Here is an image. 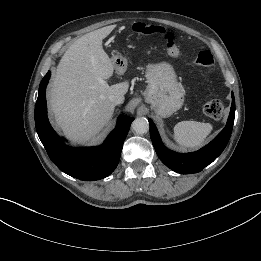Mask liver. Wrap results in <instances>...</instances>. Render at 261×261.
<instances>
[{"label":"liver","instance_id":"obj_1","mask_svg":"<svg viewBox=\"0 0 261 261\" xmlns=\"http://www.w3.org/2000/svg\"><path fill=\"white\" fill-rule=\"evenodd\" d=\"M110 33L101 28L77 39L65 52L53 80L49 103L56 124L73 141L92 140L110 121L112 94L124 95L127 81L109 86L114 64L102 47Z\"/></svg>","mask_w":261,"mask_h":261}]
</instances>
